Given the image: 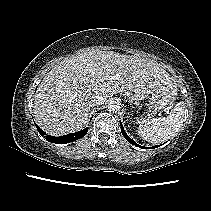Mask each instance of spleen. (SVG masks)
<instances>
[{
	"label": "spleen",
	"instance_id": "1",
	"mask_svg": "<svg viewBox=\"0 0 211 211\" xmlns=\"http://www.w3.org/2000/svg\"><path fill=\"white\" fill-rule=\"evenodd\" d=\"M184 102L175 105L167 118L146 120L140 123V136L150 143H160L173 137L184 122Z\"/></svg>",
	"mask_w": 211,
	"mask_h": 211
}]
</instances>
